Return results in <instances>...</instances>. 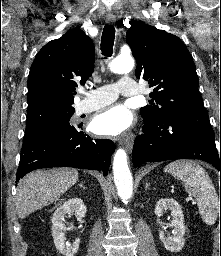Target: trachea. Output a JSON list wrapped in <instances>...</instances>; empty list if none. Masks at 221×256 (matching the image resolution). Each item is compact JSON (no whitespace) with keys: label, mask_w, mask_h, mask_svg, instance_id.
<instances>
[{"label":"trachea","mask_w":221,"mask_h":256,"mask_svg":"<svg viewBox=\"0 0 221 256\" xmlns=\"http://www.w3.org/2000/svg\"><path fill=\"white\" fill-rule=\"evenodd\" d=\"M115 39V28L113 25H105L101 39V51L105 57L112 56Z\"/></svg>","instance_id":"trachea-1"}]
</instances>
